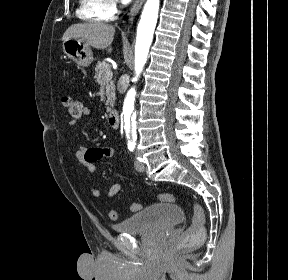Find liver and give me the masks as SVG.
<instances>
[{"label": "liver", "mask_w": 288, "mask_h": 280, "mask_svg": "<svg viewBox=\"0 0 288 280\" xmlns=\"http://www.w3.org/2000/svg\"><path fill=\"white\" fill-rule=\"evenodd\" d=\"M114 33L115 28L113 25L100 22L78 23L70 26L65 31L62 40L78 39L96 49H106L109 47L108 52L110 53L112 51L110 46Z\"/></svg>", "instance_id": "1"}]
</instances>
